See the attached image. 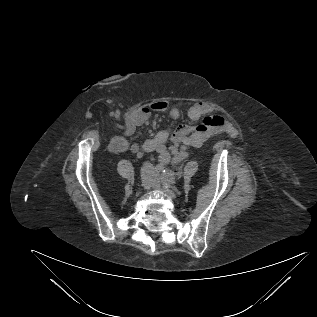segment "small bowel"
<instances>
[{"label":"small bowel","instance_id":"small-bowel-1","mask_svg":"<svg viewBox=\"0 0 317 317\" xmlns=\"http://www.w3.org/2000/svg\"><path fill=\"white\" fill-rule=\"evenodd\" d=\"M150 108L157 111H167L169 117L174 120L181 116L180 109L170 106L166 100L156 101L151 104ZM210 111L209 105L204 102H197L187 111L191 123L178 125L172 134L166 130L159 131L152 138L140 143H134L131 146L126 137L134 134L140 121L133 118L128 119L123 126H120L122 134L111 139L109 150L113 153H121L129 148L139 157L142 155V151H156L159 153V160L163 164L170 162L171 152L175 160L182 161L189 156L188 147H201L211 136L219 131L228 130V132H233V128L228 125L222 116L210 115ZM91 116L90 112L86 113L87 118H91ZM169 139L173 143L169 148L170 151L165 146Z\"/></svg>","mask_w":317,"mask_h":317}]
</instances>
